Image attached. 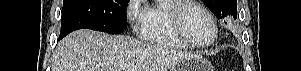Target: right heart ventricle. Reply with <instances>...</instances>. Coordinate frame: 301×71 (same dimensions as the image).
Wrapping results in <instances>:
<instances>
[{
  "mask_svg": "<svg viewBox=\"0 0 301 71\" xmlns=\"http://www.w3.org/2000/svg\"><path fill=\"white\" fill-rule=\"evenodd\" d=\"M172 1H163L148 8L146 20L142 26V38L144 41L156 46L171 49H188L190 46L184 43L175 33L167 10Z\"/></svg>",
  "mask_w": 301,
  "mask_h": 71,
  "instance_id": "1",
  "label": "right heart ventricle"
}]
</instances>
